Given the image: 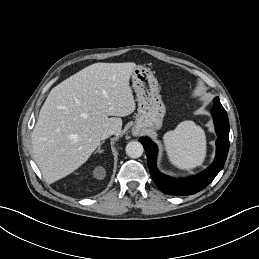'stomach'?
<instances>
[{
  "instance_id": "obj_1",
  "label": "stomach",
  "mask_w": 259,
  "mask_h": 259,
  "mask_svg": "<svg viewBox=\"0 0 259 259\" xmlns=\"http://www.w3.org/2000/svg\"><path fill=\"white\" fill-rule=\"evenodd\" d=\"M132 87L138 101L133 132H154L162 127L166 107L159 94V85L150 70L137 66L131 73Z\"/></svg>"
}]
</instances>
